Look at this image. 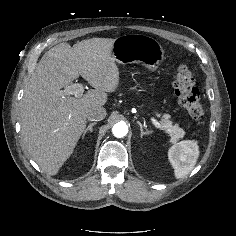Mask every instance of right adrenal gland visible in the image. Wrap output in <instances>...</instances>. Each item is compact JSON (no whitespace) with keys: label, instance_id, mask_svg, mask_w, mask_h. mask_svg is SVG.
I'll list each match as a JSON object with an SVG mask.
<instances>
[{"label":"right adrenal gland","instance_id":"right-adrenal-gland-1","mask_svg":"<svg viewBox=\"0 0 236 236\" xmlns=\"http://www.w3.org/2000/svg\"><path fill=\"white\" fill-rule=\"evenodd\" d=\"M96 122L90 123L88 127L84 130L82 138L84 139L85 135L87 132H92L93 131V126L96 125Z\"/></svg>","mask_w":236,"mask_h":236}]
</instances>
